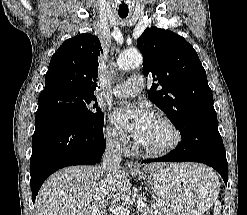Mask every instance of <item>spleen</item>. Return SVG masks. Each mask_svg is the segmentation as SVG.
Here are the masks:
<instances>
[{"instance_id":"spleen-1","label":"spleen","mask_w":247,"mask_h":215,"mask_svg":"<svg viewBox=\"0 0 247 215\" xmlns=\"http://www.w3.org/2000/svg\"><path fill=\"white\" fill-rule=\"evenodd\" d=\"M221 203L219 201L215 202L214 215H220Z\"/></svg>"}]
</instances>
